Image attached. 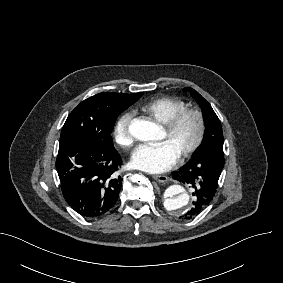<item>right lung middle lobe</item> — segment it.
I'll list each match as a JSON object with an SVG mask.
<instances>
[{"label": "right lung middle lobe", "instance_id": "obj_1", "mask_svg": "<svg viewBox=\"0 0 283 283\" xmlns=\"http://www.w3.org/2000/svg\"><path fill=\"white\" fill-rule=\"evenodd\" d=\"M142 95L99 93L84 100L68 116L60 142L83 139L97 146L112 148L110 134L117 117Z\"/></svg>", "mask_w": 283, "mask_h": 283}]
</instances>
